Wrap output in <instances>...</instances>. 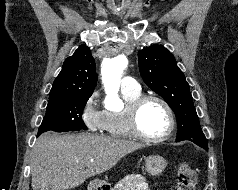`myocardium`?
<instances>
[{"mask_svg": "<svg viewBox=\"0 0 238 190\" xmlns=\"http://www.w3.org/2000/svg\"><path fill=\"white\" fill-rule=\"evenodd\" d=\"M152 101L159 103L165 109L169 117L168 130L163 135L157 137L147 135L142 131L139 125V114L141 109L145 104ZM127 123L134 137L152 143L167 140L174 132L176 126L175 115L171 106L163 98L155 95H141L140 97L133 100L127 107Z\"/></svg>", "mask_w": 238, "mask_h": 190, "instance_id": "obj_1", "label": "myocardium"}]
</instances>
